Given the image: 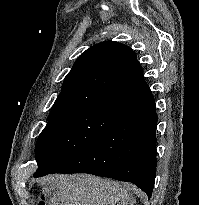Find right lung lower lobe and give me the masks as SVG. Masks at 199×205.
Returning <instances> with one entry per match:
<instances>
[{
    "instance_id": "right-lung-lower-lobe-1",
    "label": "right lung lower lobe",
    "mask_w": 199,
    "mask_h": 205,
    "mask_svg": "<svg viewBox=\"0 0 199 205\" xmlns=\"http://www.w3.org/2000/svg\"><path fill=\"white\" fill-rule=\"evenodd\" d=\"M129 88L144 104L50 173H88L132 182L150 199L156 176V106L146 82Z\"/></svg>"
}]
</instances>
